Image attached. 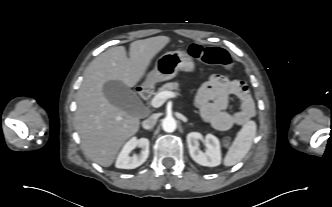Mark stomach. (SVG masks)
I'll list each match as a JSON object with an SVG mask.
<instances>
[{
	"label": "stomach",
	"instance_id": "stomach-1",
	"mask_svg": "<svg viewBox=\"0 0 332 207\" xmlns=\"http://www.w3.org/2000/svg\"><path fill=\"white\" fill-rule=\"evenodd\" d=\"M193 72L195 63L193 58L185 51H171L160 56L155 67L147 74L144 87H153L157 82L174 78L178 71Z\"/></svg>",
	"mask_w": 332,
	"mask_h": 207
}]
</instances>
